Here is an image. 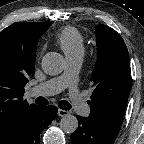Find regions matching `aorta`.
<instances>
[{"mask_svg": "<svg viewBox=\"0 0 144 144\" xmlns=\"http://www.w3.org/2000/svg\"><path fill=\"white\" fill-rule=\"evenodd\" d=\"M42 69L48 75L60 74L64 67L63 57L56 53H47L42 59ZM60 128L66 133H73L78 128V120L74 115L66 114L60 120Z\"/></svg>", "mask_w": 144, "mask_h": 144, "instance_id": "obj_1", "label": "aorta"}]
</instances>
